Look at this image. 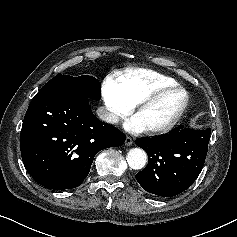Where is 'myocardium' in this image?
Instances as JSON below:
<instances>
[{"mask_svg": "<svg viewBox=\"0 0 237 237\" xmlns=\"http://www.w3.org/2000/svg\"><path fill=\"white\" fill-rule=\"evenodd\" d=\"M176 91L182 92L184 94V101H183L182 105L180 106V108L178 109V111L171 118V120L168 121L167 123L160 125V126L145 128V131L147 133L161 134V133H166V132L170 131L171 129H173L176 126V124L179 122V120L181 119V117L183 116V114L185 113V111L189 105V102H190L189 93L187 92L186 89H184L183 87H181L179 85L166 86V87H162V88L156 90L152 94L143 98L136 105H134L133 111L136 115L137 113L142 111L144 108L154 104L155 102H157L159 99H161L165 95L172 93V92H176Z\"/></svg>", "mask_w": 237, "mask_h": 237, "instance_id": "1", "label": "myocardium"}]
</instances>
